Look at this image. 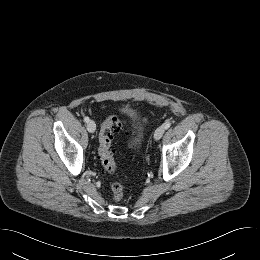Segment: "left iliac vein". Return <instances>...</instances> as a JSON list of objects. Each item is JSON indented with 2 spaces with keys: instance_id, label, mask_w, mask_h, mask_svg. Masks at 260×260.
<instances>
[{
  "instance_id": "4c4485c4",
  "label": "left iliac vein",
  "mask_w": 260,
  "mask_h": 260,
  "mask_svg": "<svg viewBox=\"0 0 260 260\" xmlns=\"http://www.w3.org/2000/svg\"><path fill=\"white\" fill-rule=\"evenodd\" d=\"M164 132H165L164 126L158 127L154 133V139L159 140L163 136Z\"/></svg>"
}]
</instances>
